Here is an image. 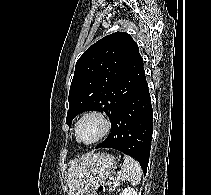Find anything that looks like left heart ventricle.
I'll use <instances>...</instances> for the list:
<instances>
[{"mask_svg": "<svg viewBox=\"0 0 211 195\" xmlns=\"http://www.w3.org/2000/svg\"><path fill=\"white\" fill-rule=\"evenodd\" d=\"M101 130V122L97 118L91 117L81 124L79 137L82 141L89 142L95 139L100 134Z\"/></svg>", "mask_w": 211, "mask_h": 195, "instance_id": "obj_1", "label": "left heart ventricle"}]
</instances>
